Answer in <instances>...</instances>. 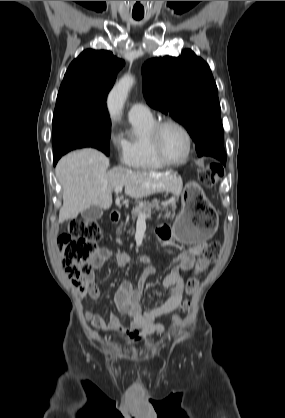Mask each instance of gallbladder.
I'll return each mask as SVG.
<instances>
[{
    "label": "gallbladder",
    "instance_id": "bac80fb5",
    "mask_svg": "<svg viewBox=\"0 0 285 418\" xmlns=\"http://www.w3.org/2000/svg\"><path fill=\"white\" fill-rule=\"evenodd\" d=\"M102 209L97 205H92L88 209L81 212V216L85 221H95L102 217Z\"/></svg>",
    "mask_w": 285,
    "mask_h": 418
}]
</instances>
